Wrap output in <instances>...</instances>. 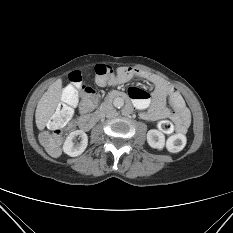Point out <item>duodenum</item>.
Returning <instances> with one entry per match:
<instances>
[{"instance_id":"1","label":"duodenum","mask_w":233,"mask_h":233,"mask_svg":"<svg viewBox=\"0 0 233 233\" xmlns=\"http://www.w3.org/2000/svg\"><path fill=\"white\" fill-rule=\"evenodd\" d=\"M116 99H123V100H128L129 96L121 91H113L111 92L104 104L102 105V107L97 110L95 113L90 114V115H84L82 116L79 121H78V125L82 130H89L91 129L98 121L99 119L103 116L105 110L107 109L108 105L116 100Z\"/></svg>"}]
</instances>
